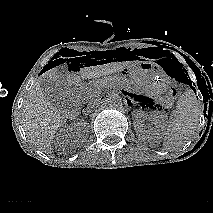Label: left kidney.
<instances>
[{
  "label": "left kidney",
  "mask_w": 213,
  "mask_h": 213,
  "mask_svg": "<svg viewBox=\"0 0 213 213\" xmlns=\"http://www.w3.org/2000/svg\"><path fill=\"white\" fill-rule=\"evenodd\" d=\"M134 117V127L137 133V136L141 140H151L153 138H158L161 132L163 131L165 127V119L163 115L152 112L150 114L144 112V111H135L133 113ZM150 120L154 124V128L150 130H146L145 126V120Z\"/></svg>",
  "instance_id": "obj_1"
}]
</instances>
